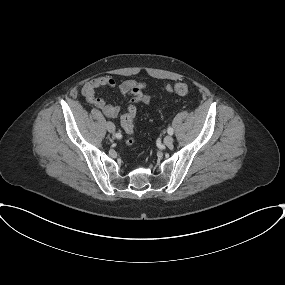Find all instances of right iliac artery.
I'll use <instances>...</instances> for the list:
<instances>
[{"mask_svg":"<svg viewBox=\"0 0 285 285\" xmlns=\"http://www.w3.org/2000/svg\"><path fill=\"white\" fill-rule=\"evenodd\" d=\"M116 137L120 139L122 137L121 133H116Z\"/></svg>","mask_w":285,"mask_h":285,"instance_id":"right-iliac-artery-1","label":"right iliac artery"}]
</instances>
